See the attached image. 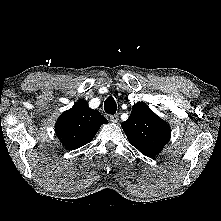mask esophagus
<instances>
[{
    "label": "esophagus",
    "instance_id": "34e87169",
    "mask_svg": "<svg viewBox=\"0 0 221 221\" xmlns=\"http://www.w3.org/2000/svg\"><path fill=\"white\" fill-rule=\"evenodd\" d=\"M118 120H119L118 114H115V115H111V116H110V121H111V122L117 123Z\"/></svg>",
    "mask_w": 221,
    "mask_h": 221
}]
</instances>
